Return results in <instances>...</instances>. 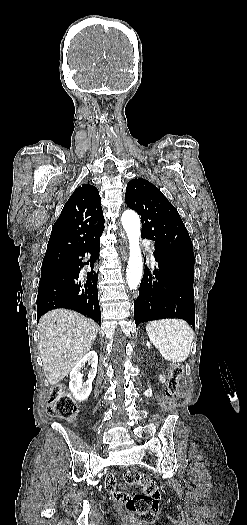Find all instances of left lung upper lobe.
I'll return each instance as SVG.
<instances>
[{
    "mask_svg": "<svg viewBox=\"0 0 247 525\" xmlns=\"http://www.w3.org/2000/svg\"><path fill=\"white\" fill-rule=\"evenodd\" d=\"M125 202L141 217L142 236L157 243L161 251L194 268L193 245L176 208L149 181L128 182Z\"/></svg>",
    "mask_w": 247,
    "mask_h": 525,
    "instance_id": "5c2ea615",
    "label": "left lung upper lobe"
}]
</instances>
